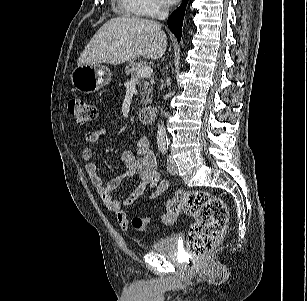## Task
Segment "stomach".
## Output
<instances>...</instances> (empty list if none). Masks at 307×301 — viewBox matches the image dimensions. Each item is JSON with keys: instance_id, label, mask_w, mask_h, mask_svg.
I'll list each match as a JSON object with an SVG mask.
<instances>
[{"instance_id": "stomach-1", "label": "stomach", "mask_w": 307, "mask_h": 301, "mask_svg": "<svg viewBox=\"0 0 307 301\" xmlns=\"http://www.w3.org/2000/svg\"><path fill=\"white\" fill-rule=\"evenodd\" d=\"M111 80V71L100 64L77 66L71 74L73 87L83 93H95Z\"/></svg>"}]
</instances>
